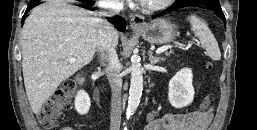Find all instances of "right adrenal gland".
Wrapping results in <instances>:
<instances>
[{"label": "right adrenal gland", "mask_w": 257, "mask_h": 130, "mask_svg": "<svg viewBox=\"0 0 257 130\" xmlns=\"http://www.w3.org/2000/svg\"><path fill=\"white\" fill-rule=\"evenodd\" d=\"M99 62L102 66L106 65V58H104L103 56L99 59Z\"/></svg>", "instance_id": "right-adrenal-gland-1"}]
</instances>
